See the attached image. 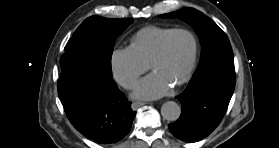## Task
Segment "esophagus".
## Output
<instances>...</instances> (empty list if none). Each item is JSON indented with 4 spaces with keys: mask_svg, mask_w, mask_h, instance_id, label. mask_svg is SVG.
I'll return each mask as SVG.
<instances>
[{
    "mask_svg": "<svg viewBox=\"0 0 279 148\" xmlns=\"http://www.w3.org/2000/svg\"><path fill=\"white\" fill-rule=\"evenodd\" d=\"M144 104H146V102L136 101V102L132 103L131 107H132V109H137L138 107H140Z\"/></svg>",
    "mask_w": 279,
    "mask_h": 148,
    "instance_id": "obj_1",
    "label": "esophagus"
}]
</instances>
